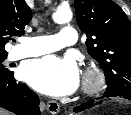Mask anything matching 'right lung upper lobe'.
Here are the masks:
<instances>
[{
    "mask_svg": "<svg viewBox=\"0 0 131 115\" xmlns=\"http://www.w3.org/2000/svg\"><path fill=\"white\" fill-rule=\"evenodd\" d=\"M31 19L32 11L25 0H0V56L7 55L5 44L24 34Z\"/></svg>",
    "mask_w": 131,
    "mask_h": 115,
    "instance_id": "1",
    "label": "right lung upper lobe"
}]
</instances>
